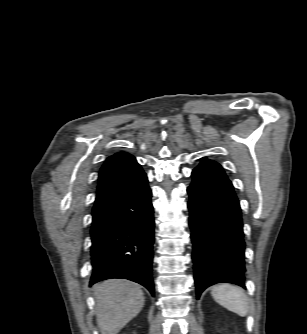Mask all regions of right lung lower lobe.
Masks as SVG:
<instances>
[{"instance_id":"obj_1","label":"right lung lower lobe","mask_w":307,"mask_h":334,"mask_svg":"<svg viewBox=\"0 0 307 334\" xmlns=\"http://www.w3.org/2000/svg\"><path fill=\"white\" fill-rule=\"evenodd\" d=\"M90 285L125 278L154 295V242L151 190L146 174L127 188L93 207Z\"/></svg>"}]
</instances>
